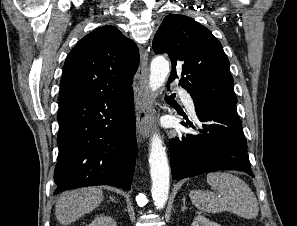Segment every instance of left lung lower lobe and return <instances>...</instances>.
<instances>
[{"instance_id": "obj_1", "label": "left lung lower lobe", "mask_w": 297, "mask_h": 226, "mask_svg": "<svg viewBox=\"0 0 297 226\" xmlns=\"http://www.w3.org/2000/svg\"><path fill=\"white\" fill-rule=\"evenodd\" d=\"M195 111L202 124L189 126L197 133L184 134L170 142L172 178L182 179L218 170H238L254 177L236 105L195 104Z\"/></svg>"}]
</instances>
